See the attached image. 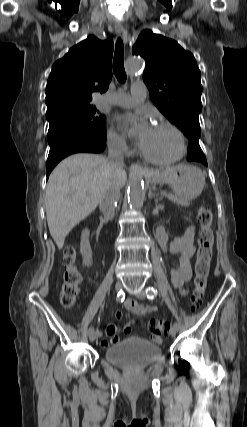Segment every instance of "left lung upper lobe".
Segmentation results:
<instances>
[{"label":"left lung upper lobe","mask_w":247,"mask_h":427,"mask_svg":"<svg viewBox=\"0 0 247 427\" xmlns=\"http://www.w3.org/2000/svg\"><path fill=\"white\" fill-rule=\"evenodd\" d=\"M132 53L146 61L143 80L156 107L189 141L199 142L202 85L194 56L176 41L149 30L140 33Z\"/></svg>","instance_id":"5c2ea615"}]
</instances>
